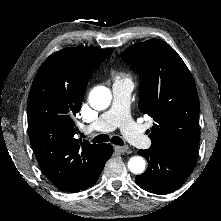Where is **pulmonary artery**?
Masks as SVG:
<instances>
[{"label":"pulmonary artery","mask_w":221,"mask_h":221,"mask_svg":"<svg viewBox=\"0 0 221 221\" xmlns=\"http://www.w3.org/2000/svg\"><path fill=\"white\" fill-rule=\"evenodd\" d=\"M133 90L131 80H115L112 85L111 107L88 126L89 131L108 132L119 127L126 139L138 148H148L151 140L140 125L135 123L129 113L130 95Z\"/></svg>","instance_id":"pulmonary-artery-1"}]
</instances>
